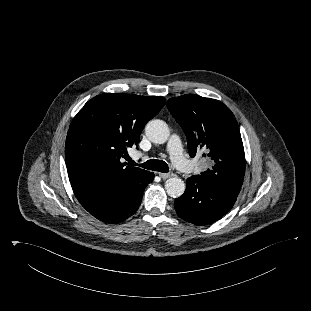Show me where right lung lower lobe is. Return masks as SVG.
I'll return each mask as SVG.
<instances>
[{
  "label": "right lung lower lobe",
  "mask_w": 311,
  "mask_h": 311,
  "mask_svg": "<svg viewBox=\"0 0 311 311\" xmlns=\"http://www.w3.org/2000/svg\"><path fill=\"white\" fill-rule=\"evenodd\" d=\"M154 174L129 190L110 189L105 186L73 188L81 205L98 220L114 224L123 222L139 208L145 187L152 182Z\"/></svg>",
  "instance_id": "1"
}]
</instances>
